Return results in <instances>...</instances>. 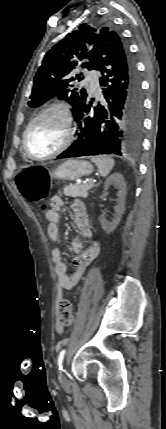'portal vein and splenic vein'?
I'll return each instance as SVG.
<instances>
[{
  "instance_id": "portal-vein-and-splenic-vein-1",
  "label": "portal vein and splenic vein",
  "mask_w": 166,
  "mask_h": 429,
  "mask_svg": "<svg viewBox=\"0 0 166 429\" xmlns=\"http://www.w3.org/2000/svg\"><path fill=\"white\" fill-rule=\"evenodd\" d=\"M88 182H95L93 179L88 180Z\"/></svg>"
}]
</instances>
